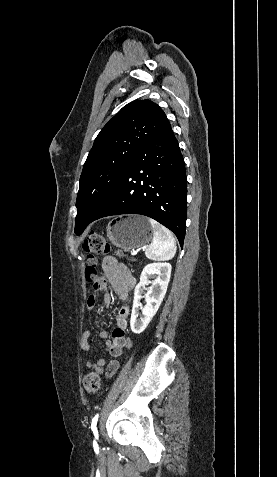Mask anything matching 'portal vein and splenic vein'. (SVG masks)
I'll return each mask as SVG.
<instances>
[{
  "mask_svg": "<svg viewBox=\"0 0 277 477\" xmlns=\"http://www.w3.org/2000/svg\"><path fill=\"white\" fill-rule=\"evenodd\" d=\"M132 254H133V255H136V254H137V251L133 250Z\"/></svg>",
  "mask_w": 277,
  "mask_h": 477,
  "instance_id": "obj_1",
  "label": "portal vein and splenic vein"
}]
</instances>
